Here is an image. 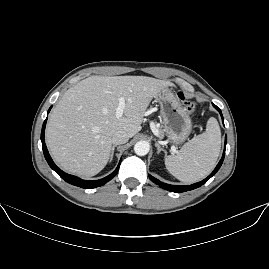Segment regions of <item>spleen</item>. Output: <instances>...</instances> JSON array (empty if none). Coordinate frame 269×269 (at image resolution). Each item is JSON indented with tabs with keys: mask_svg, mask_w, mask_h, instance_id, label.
I'll list each match as a JSON object with an SVG mask.
<instances>
[{
	"mask_svg": "<svg viewBox=\"0 0 269 269\" xmlns=\"http://www.w3.org/2000/svg\"><path fill=\"white\" fill-rule=\"evenodd\" d=\"M221 150V131L216 118L207 121L206 131L187 142L177 155L165 158L167 170L184 183L202 180L215 167Z\"/></svg>",
	"mask_w": 269,
	"mask_h": 269,
	"instance_id": "3e777b00",
	"label": "spleen"
}]
</instances>
